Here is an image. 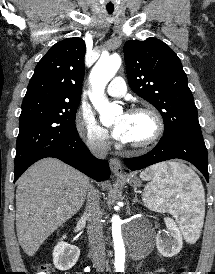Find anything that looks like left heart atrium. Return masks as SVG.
Returning <instances> with one entry per match:
<instances>
[{
  "label": "left heart atrium",
  "mask_w": 215,
  "mask_h": 274,
  "mask_svg": "<svg viewBox=\"0 0 215 274\" xmlns=\"http://www.w3.org/2000/svg\"><path fill=\"white\" fill-rule=\"evenodd\" d=\"M128 127V114H123L114 124L112 135L115 139L126 141V132Z\"/></svg>",
  "instance_id": "obj_1"
}]
</instances>
